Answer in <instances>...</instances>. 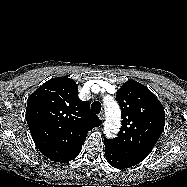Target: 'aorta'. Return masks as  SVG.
Here are the masks:
<instances>
[{
	"label": "aorta",
	"instance_id": "762f6f07",
	"mask_svg": "<svg viewBox=\"0 0 187 187\" xmlns=\"http://www.w3.org/2000/svg\"><path fill=\"white\" fill-rule=\"evenodd\" d=\"M106 121L104 125V134L107 138H113L119 132L121 127V111L115 101L105 104Z\"/></svg>",
	"mask_w": 187,
	"mask_h": 187
}]
</instances>
